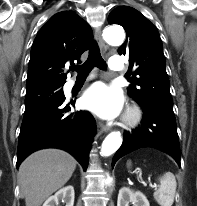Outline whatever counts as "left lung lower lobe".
<instances>
[{"label": "left lung lower lobe", "mask_w": 197, "mask_h": 206, "mask_svg": "<svg viewBox=\"0 0 197 206\" xmlns=\"http://www.w3.org/2000/svg\"><path fill=\"white\" fill-rule=\"evenodd\" d=\"M143 110L141 125L124 134L121 147L115 153L112 167L124 155L143 147L163 151L180 166V148L173 108L161 104L138 102Z\"/></svg>", "instance_id": "0a47b994"}]
</instances>
